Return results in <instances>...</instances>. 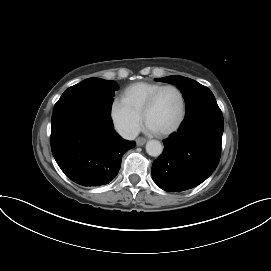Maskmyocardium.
<instances>
[{"mask_svg": "<svg viewBox=\"0 0 271 271\" xmlns=\"http://www.w3.org/2000/svg\"><path fill=\"white\" fill-rule=\"evenodd\" d=\"M167 89H172L174 91L177 92V94L179 95L180 98V114L179 117L177 119V121L174 123V125L172 127H170L167 130L158 132L160 135L162 136H168L172 133H174L176 130H178V128L181 126L185 115H186V100H185V96L183 94V92L181 91V89L175 85H163L162 87H160L159 89H157L147 100V102L145 103L144 107H143V111H142V117L143 119L147 122V117L149 112L152 110V108L154 107L159 95L167 90Z\"/></svg>", "mask_w": 271, "mask_h": 271, "instance_id": "f54148a6", "label": "myocardium"}]
</instances>
